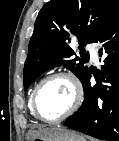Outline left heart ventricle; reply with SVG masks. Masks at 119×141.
<instances>
[{
	"label": "left heart ventricle",
	"mask_w": 119,
	"mask_h": 141,
	"mask_svg": "<svg viewBox=\"0 0 119 141\" xmlns=\"http://www.w3.org/2000/svg\"><path fill=\"white\" fill-rule=\"evenodd\" d=\"M73 97V89L67 79H53L46 83L38 94V112L43 118H56L70 107Z\"/></svg>",
	"instance_id": "1"
}]
</instances>
